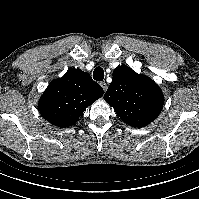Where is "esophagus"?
<instances>
[{
	"label": "esophagus",
	"mask_w": 199,
	"mask_h": 199,
	"mask_svg": "<svg viewBox=\"0 0 199 199\" xmlns=\"http://www.w3.org/2000/svg\"><path fill=\"white\" fill-rule=\"evenodd\" d=\"M101 87L103 88L104 91L107 90L108 86L107 83L105 81L100 82Z\"/></svg>",
	"instance_id": "34e87169"
}]
</instances>
